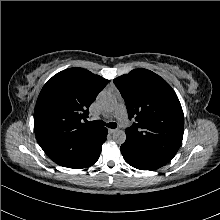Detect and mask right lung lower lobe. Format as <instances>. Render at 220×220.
Masks as SVG:
<instances>
[{
    "instance_id": "1",
    "label": "right lung lower lobe",
    "mask_w": 220,
    "mask_h": 220,
    "mask_svg": "<svg viewBox=\"0 0 220 220\" xmlns=\"http://www.w3.org/2000/svg\"><path fill=\"white\" fill-rule=\"evenodd\" d=\"M107 133H108L107 128L101 127L95 136L87 140H84L80 144V146L84 147V151H86L87 153L86 156L80 159L79 161H75V162L64 161L50 155H48V157H50L57 164L64 167L75 168V169L89 167L98 160L101 152V147L106 140Z\"/></svg>"
}]
</instances>
